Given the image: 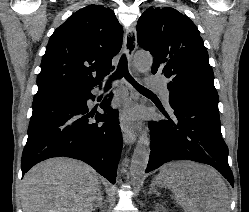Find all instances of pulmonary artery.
Listing matches in <instances>:
<instances>
[{"mask_svg": "<svg viewBox=\"0 0 249 212\" xmlns=\"http://www.w3.org/2000/svg\"><path fill=\"white\" fill-rule=\"evenodd\" d=\"M154 88L159 93L162 102L167 107H169V90L167 88V85L165 83H160V84H157L156 86H154Z\"/></svg>", "mask_w": 249, "mask_h": 212, "instance_id": "pulmonary-artery-1", "label": "pulmonary artery"}]
</instances>
